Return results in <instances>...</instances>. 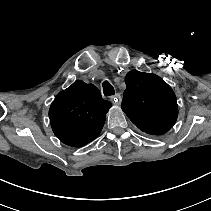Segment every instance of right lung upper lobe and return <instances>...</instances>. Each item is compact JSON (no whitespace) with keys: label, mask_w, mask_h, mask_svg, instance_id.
Here are the masks:
<instances>
[{"label":"right lung upper lobe","mask_w":211,"mask_h":211,"mask_svg":"<svg viewBox=\"0 0 211 211\" xmlns=\"http://www.w3.org/2000/svg\"><path fill=\"white\" fill-rule=\"evenodd\" d=\"M111 106L96 86L77 80L52 102L49 109L52 130L66 145H86L100 134Z\"/></svg>","instance_id":"cb5924a9"}]
</instances>
